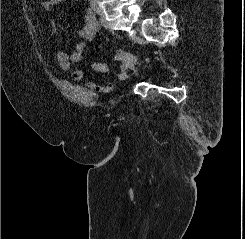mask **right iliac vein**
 I'll return each instance as SVG.
<instances>
[{
	"instance_id": "right-iliac-vein-1",
	"label": "right iliac vein",
	"mask_w": 245,
	"mask_h": 239,
	"mask_svg": "<svg viewBox=\"0 0 245 239\" xmlns=\"http://www.w3.org/2000/svg\"><path fill=\"white\" fill-rule=\"evenodd\" d=\"M92 8L103 20H105V15L98 5H93Z\"/></svg>"
}]
</instances>
